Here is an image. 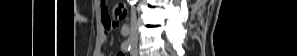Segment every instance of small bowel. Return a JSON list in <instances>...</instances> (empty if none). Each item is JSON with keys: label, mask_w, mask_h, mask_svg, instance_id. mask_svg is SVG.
<instances>
[{"label": "small bowel", "mask_w": 297, "mask_h": 56, "mask_svg": "<svg viewBox=\"0 0 297 56\" xmlns=\"http://www.w3.org/2000/svg\"><path fill=\"white\" fill-rule=\"evenodd\" d=\"M98 10L100 14L101 24L99 26L98 35L96 39V50L94 56H103L102 47L107 40V35L110 30L116 28L120 21L125 17L126 10L124 6H117L112 15L108 11V7L105 2L100 1L98 3ZM117 56H124L123 53H118Z\"/></svg>", "instance_id": "obj_1"}]
</instances>
